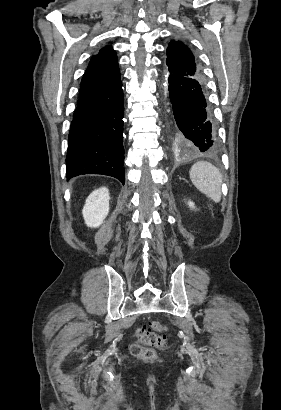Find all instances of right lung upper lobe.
Masks as SVG:
<instances>
[{
    "instance_id": "obj_1",
    "label": "right lung upper lobe",
    "mask_w": 281,
    "mask_h": 410,
    "mask_svg": "<svg viewBox=\"0 0 281 410\" xmlns=\"http://www.w3.org/2000/svg\"><path fill=\"white\" fill-rule=\"evenodd\" d=\"M120 80L117 56L111 46L102 48L94 55L83 75L79 96L104 90Z\"/></svg>"
}]
</instances>
